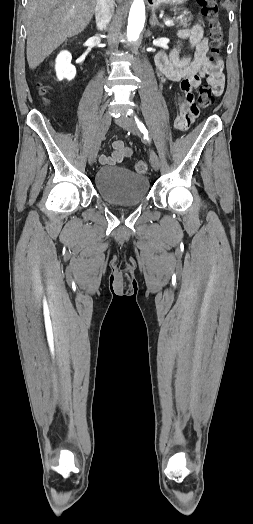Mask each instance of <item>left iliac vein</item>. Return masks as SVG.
I'll list each match as a JSON object with an SVG mask.
<instances>
[{"label": "left iliac vein", "mask_w": 253, "mask_h": 524, "mask_svg": "<svg viewBox=\"0 0 253 524\" xmlns=\"http://www.w3.org/2000/svg\"><path fill=\"white\" fill-rule=\"evenodd\" d=\"M115 122L120 127H122L123 129L131 132L132 134H135V135L138 134L137 126H136L134 120L131 117H129V116H122V117L116 119ZM150 163H151L152 167L155 170L159 169V167H160V160H159V157H158L157 153L154 150H151V152H150Z\"/></svg>", "instance_id": "4c4485c4"}]
</instances>
